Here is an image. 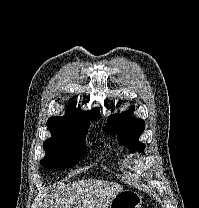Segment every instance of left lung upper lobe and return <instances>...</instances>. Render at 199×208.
Here are the masks:
<instances>
[{
    "label": "left lung upper lobe",
    "instance_id": "1",
    "mask_svg": "<svg viewBox=\"0 0 199 208\" xmlns=\"http://www.w3.org/2000/svg\"><path fill=\"white\" fill-rule=\"evenodd\" d=\"M145 128L144 120L132 116V109L109 117L104 127L109 135H117L118 140L128 147L130 152L143 151L145 145L138 141Z\"/></svg>",
    "mask_w": 199,
    "mask_h": 208
}]
</instances>
